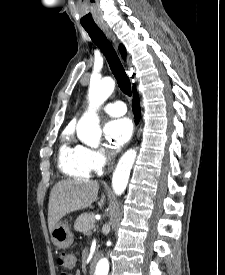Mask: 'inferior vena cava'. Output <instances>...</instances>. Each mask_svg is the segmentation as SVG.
Returning a JSON list of instances; mask_svg holds the SVG:
<instances>
[{
	"instance_id": "obj_1",
	"label": "inferior vena cava",
	"mask_w": 225,
	"mask_h": 275,
	"mask_svg": "<svg viewBox=\"0 0 225 275\" xmlns=\"http://www.w3.org/2000/svg\"><path fill=\"white\" fill-rule=\"evenodd\" d=\"M111 157H112V154L108 153V155H107L108 161H111Z\"/></svg>"
}]
</instances>
